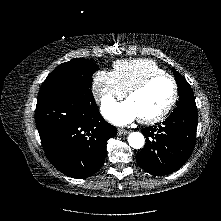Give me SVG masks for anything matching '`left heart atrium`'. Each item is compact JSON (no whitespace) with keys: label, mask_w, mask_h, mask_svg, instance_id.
Segmentation results:
<instances>
[{"label":"left heart atrium","mask_w":221,"mask_h":221,"mask_svg":"<svg viewBox=\"0 0 221 221\" xmlns=\"http://www.w3.org/2000/svg\"><path fill=\"white\" fill-rule=\"evenodd\" d=\"M102 112L108 120L116 125H126L139 118L137 111L129 100L121 103L106 102L102 107Z\"/></svg>","instance_id":"obj_1"}]
</instances>
